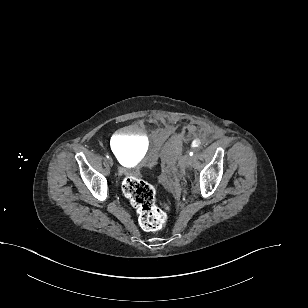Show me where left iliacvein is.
I'll use <instances>...</instances> for the list:
<instances>
[{
    "label": "left iliac vein",
    "instance_id": "left-iliac-vein-1",
    "mask_svg": "<svg viewBox=\"0 0 308 308\" xmlns=\"http://www.w3.org/2000/svg\"><path fill=\"white\" fill-rule=\"evenodd\" d=\"M193 161V157L190 156L189 154H185L181 160V165L185 168H188Z\"/></svg>",
    "mask_w": 308,
    "mask_h": 308
}]
</instances>
